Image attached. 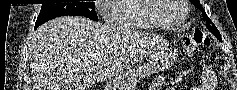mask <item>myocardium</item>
Listing matches in <instances>:
<instances>
[{
    "label": "myocardium",
    "instance_id": "f54148a6",
    "mask_svg": "<svg viewBox=\"0 0 237 90\" xmlns=\"http://www.w3.org/2000/svg\"><path fill=\"white\" fill-rule=\"evenodd\" d=\"M189 0H176L175 3L180 5L182 9V17L180 21L173 26H166L162 24L156 15H158V12H162L163 9L167 8V5H165V2H161V0H148L146 2V6L148 8H145V14H147V18H151L153 22L156 24V26L164 31H177L179 30L185 23L186 17H187V12H188V7L185 3H188Z\"/></svg>",
    "mask_w": 237,
    "mask_h": 90
}]
</instances>
